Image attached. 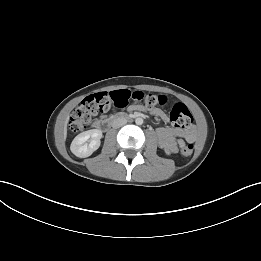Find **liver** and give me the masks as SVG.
I'll use <instances>...</instances> for the list:
<instances>
[{"label": "liver", "instance_id": "liver-1", "mask_svg": "<svg viewBox=\"0 0 261 261\" xmlns=\"http://www.w3.org/2000/svg\"><path fill=\"white\" fill-rule=\"evenodd\" d=\"M68 117L66 118V121L64 123V129H63V137L64 139H66V136H67V123H68Z\"/></svg>", "mask_w": 261, "mask_h": 261}]
</instances>
